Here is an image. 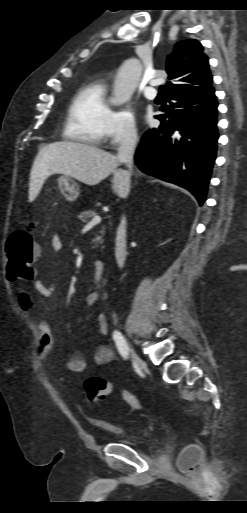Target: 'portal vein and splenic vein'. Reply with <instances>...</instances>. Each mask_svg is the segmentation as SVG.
<instances>
[{"label":"portal vein and splenic vein","instance_id":"1","mask_svg":"<svg viewBox=\"0 0 247 513\" xmlns=\"http://www.w3.org/2000/svg\"><path fill=\"white\" fill-rule=\"evenodd\" d=\"M100 222H101V217H100L99 215H95V216L91 219V221H89V222L87 223V225H86V226H88V227H89V226H94V225H96V224H99Z\"/></svg>","mask_w":247,"mask_h":513}]
</instances>
